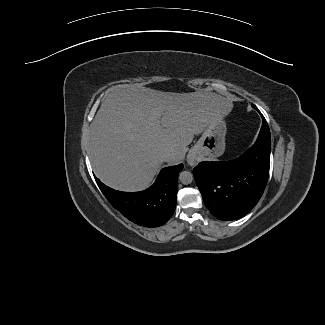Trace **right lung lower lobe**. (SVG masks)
Instances as JSON below:
<instances>
[{"label":"right lung lower lobe","instance_id":"obj_1","mask_svg":"<svg viewBox=\"0 0 325 325\" xmlns=\"http://www.w3.org/2000/svg\"><path fill=\"white\" fill-rule=\"evenodd\" d=\"M183 164L163 168L154 185L141 192L113 190L96 178V182L111 205L130 221L145 227L165 224L176 207L178 174Z\"/></svg>","mask_w":325,"mask_h":325}]
</instances>
